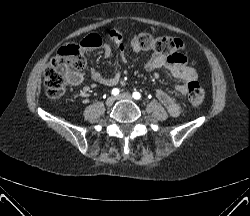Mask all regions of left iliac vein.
Wrapping results in <instances>:
<instances>
[{"label": "left iliac vein", "instance_id": "left-iliac-vein-1", "mask_svg": "<svg viewBox=\"0 0 250 216\" xmlns=\"http://www.w3.org/2000/svg\"><path fill=\"white\" fill-rule=\"evenodd\" d=\"M116 99L118 100H128V101H131L133 100V97L131 96V94L129 93H121L120 95H118L116 97Z\"/></svg>", "mask_w": 250, "mask_h": 216}]
</instances>
